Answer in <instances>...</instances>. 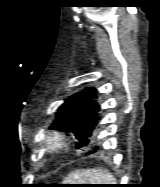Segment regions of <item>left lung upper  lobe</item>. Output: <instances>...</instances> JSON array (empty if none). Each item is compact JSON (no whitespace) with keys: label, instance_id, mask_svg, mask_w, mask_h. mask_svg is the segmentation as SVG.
<instances>
[{"label":"left lung upper lobe","instance_id":"1","mask_svg":"<svg viewBox=\"0 0 160 187\" xmlns=\"http://www.w3.org/2000/svg\"><path fill=\"white\" fill-rule=\"evenodd\" d=\"M96 98L97 91L93 87L72 95L58 108L51 128L72 131L79 141L77 148L89 146V137L98 123L96 118L100 110Z\"/></svg>","mask_w":160,"mask_h":187}]
</instances>
